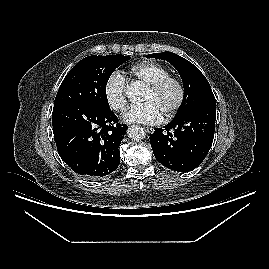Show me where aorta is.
Masks as SVG:
<instances>
[{
	"mask_svg": "<svg viewBox=\"0 0 269 269\" xmlns=\"http://www.w3.org/2000/svg\"><path fill=\"white\" fill-rule=\"evenodd\" d=\"M126 94L128 95L129 98L135 99L137 98V96L140 95V89L138 86L133 85L127 90ZM127 133H128V137L135 141L142 140L145 138L144 129L138 125L131 126L128 129Z\"/></svg>",
	"mask_w": 269,
	"mask_h": 269,
	"instance_id": "aorta-1",
	"label": "aorta"
}]
</instances>
